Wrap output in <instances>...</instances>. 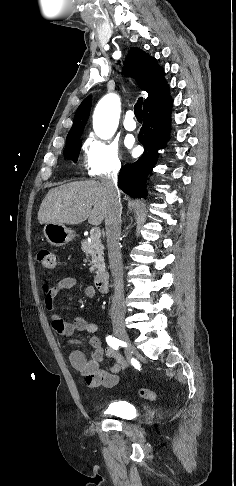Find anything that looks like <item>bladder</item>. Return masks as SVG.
<instances>
[{
  "mask_svg": "<svg viewBox=\"0 0 236 486\" xmlns=\"http://www.w3.org/2000/svg\"><path fill=\"white\" fill-rule=\"evenodd\" d=\"M105 412L118 418L132 419L136 415L137 407L128 401H115L107 406Z\"/></svg>",
  "mask_w": 236,
  "mask_h": 486,
  "instance_id": "1",
  "label": "bladder"
}]
</instances>
